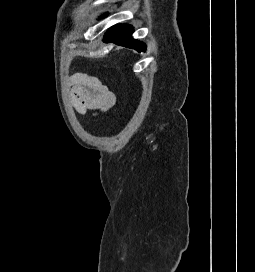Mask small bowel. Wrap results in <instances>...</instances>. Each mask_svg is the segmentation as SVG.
Instances as JSON below:
<instances>
[{"label": "small bowel", "mask_w": 255, "mask_h": 272, "mask_svg": "<svg viewBox=\"0 0 255 272\" xmlns=\"http://www.w3.org/2000/svg\"><path fill=\"white\" fill-rule=\"evenodd\" d=\"M69 84L72 88L73 107L81 114L88 111H107L115 104L114 93L95 76L75 73Z\"/></svg>", "instance_id": "small-bowel-1"}]
</instances>
